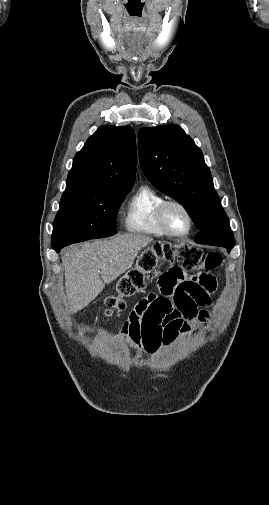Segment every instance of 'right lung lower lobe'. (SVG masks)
I'll list each match as a JSON object with an SVG mask.
<instances>
[{
  "mask_svg": "<svg viewBox=\"0 0 269 505\" xmlns=\"http://www.w3.org/2000/svg\"><path fill=\"white\" fill-rule=\"evenodd\" d=\"M63 248V246H53V249L56 251H60Z\"/></svg>",
  "mask_w": 269,
  "mask_h": 505,
  "instance_id": "98d812e1",
  "label": "right lung lower lobe"
}]
</instances>
